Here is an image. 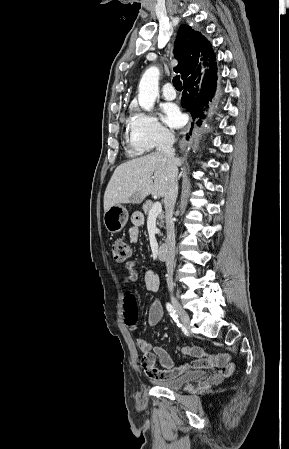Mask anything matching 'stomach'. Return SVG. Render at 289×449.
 <instances>
[{
	"instance_id": "1",
	"label": "stomach",
	"mask_w": 289,
	"mask_h": 449,
	"mask_svg": "<svg viewBox=\"0 0 289 449\" xmlns=\"http://www.w3.org/2000/svg\"><path fill=\"white\" fill-rule=\"evenodd\" d=\"M129 218L127 209L120 204L110 207L104 212V225L111 233L120 232L126 225Z\"/></svg>"
}]
</instances>
